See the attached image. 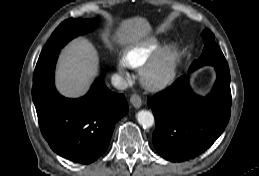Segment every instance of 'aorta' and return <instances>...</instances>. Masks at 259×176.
<instances>
[{"instance_id": "aorta-1", "label": "aorta", "mask_w": 259, "mask_h": 176, "mask_svg": "<svg viewBox=\"0 0 259 176\" xmlns=\"http://www.w3.org/2000/svg\"><path fill=\"white\" fill-rule=\"evenodd\" d=\"M137 121L145 128L152 127L155 123L153 114L147 110H141L137 113Z\"/></svg>"}]
</instances>
